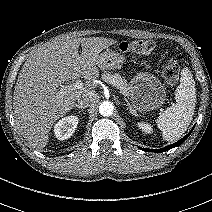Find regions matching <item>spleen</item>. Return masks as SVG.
Segmentation results:
<instances>
[{"label": "spleen", "instance_id": "3e777b00", "mask_svg": "<svg viewBox=\"0 0 212 212\" xmlns=\"http://www.w3.org/2000/svg\"><path fill=\"white\" fill-rule=\"evenodd\" d=\"M176 103L168 107L157 119L163 139L176 141L187 130L195 110L196 89L191 71H181L180 84L175 91Z\"/></svg>", "mask_w": 212, "mask_h": 212}]
</instances>
